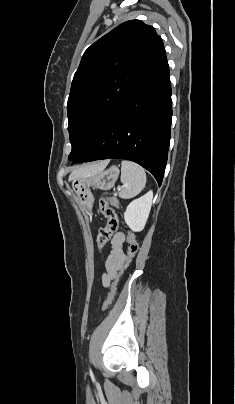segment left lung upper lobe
<instances>
[{
	"mask_svg": "<svg viewBox=\"0 0 235 404\" xmlns=\"http://www.w3.org/2000/svg\"><path fill=\"white\" fill-rule=\"evenodd\" d=\"M162 39L140 20L124 22L92 44L74 75L67 103L73 163L134 87L165 56Z\"/></svg>",
	"mask_w": 235,
	"mask_h": 404,
	"instance_id": "obj_1",
	"label": "left lung upper lobe"
}]
</instances>
